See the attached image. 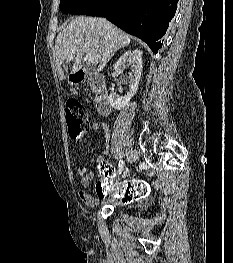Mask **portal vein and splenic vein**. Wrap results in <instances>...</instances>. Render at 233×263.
<instances>
[{
    "mask_svg": "<svg viewBox=\"0 0 233 263\" xmlns=\"http://www.w3.org/2000/svg\"><path fill=\"white\" fill-rule=\"evenodd\" d=\"M85 60H86V61H89V62H91V63H98L97 58H96L95 56L89 54V53H86V55H85Z\"/></svg>",
    "mask_w": 233,
    "mask_h": 263,
    "instance_id": "18ae733b",
    "label": "portal vein and splenic vein"
}]
</instances>
